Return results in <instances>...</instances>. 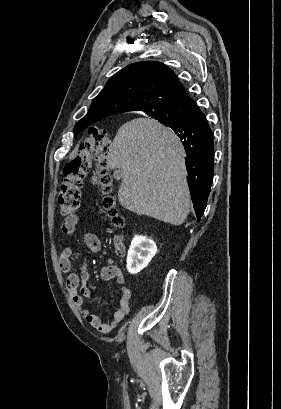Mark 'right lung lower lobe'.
<instances>
[{"label": "right lung lower lobe", "mask_w": 281, "mask_h": 409, "mask_svg": "<svg viewBox=\"0 0 281 409\" xmlns=\"http://www.w3.org/2000/svg\"><path fill=\"white\" fill-rule=\"evenodd\" d=\"M146 113L154 119L165 116L177 119L168 127L178 134L187 153L190 194L197 220H200L207 205L213 177V133L205 115L192 98Z\"/></svg>", "instance_id": "1"}]
</instances>
